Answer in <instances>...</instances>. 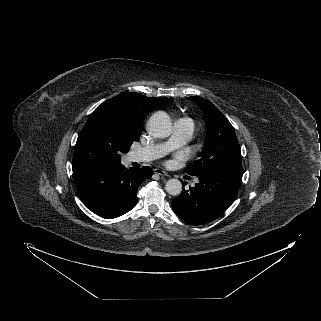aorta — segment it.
I'll list each match as a JSON object with an SVG mask.
<instances>
[{
    "label": "aorta",
    "instance_id": "obj_1",
    "mask_svg": "<svg viewBox=\"0 0 321 321\" xmlns=\"http://www.w3.org/2000/svg\"><path fill=\"white\" fill-rule=\"evenodd\" d=\"M151 134L158 138L168 137L172 132V122L164 111L155 112L148 121ZM165 189L172 196L179 195L182 191V183L178 179H170L166 182Z\"/></svg>",
    "mask_w": 321,
    "mask_h": 321
}]
</instances>
